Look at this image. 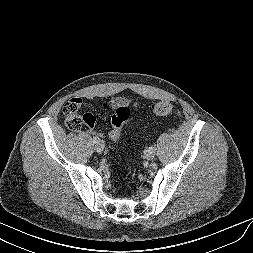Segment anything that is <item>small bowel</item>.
Returning <instances> with one entry per match:
<instances>
[{"instance_id": "small-bowel-1", "label": "small bowel", "mask_w": 253, "mask_h": 253, "mask_svg": "<svg viewBox=\"0 0 253 253\" xmlns=\"http://www.w3.org/2000/svg\"><path fill=\"white\" fill-rule=\"evenodd\" d=\"M132 102L127 99V98H123V97H118L113 99L109 104H107L105 106L106 111L111 113L115 110V108L121 104L127 105L129 106ZM90 128H92L93 126H89ZM91 131H93V129H91Z\"/></svg>"}]
</instances>
